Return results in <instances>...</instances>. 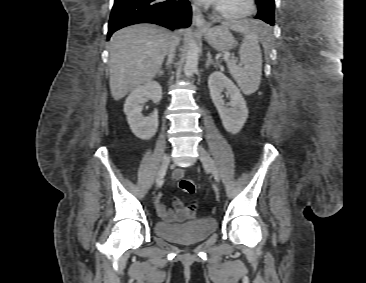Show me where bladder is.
<instances>
[{
	"instance_id": "1",
	"label": "bladder",
	"mask_w": 366,
	"mask_h": 283,
	"mask_svg": "<svg viewBox=\"0 0 366 283\" xmlns=\"http://www.w3.org/2000/svg\"><path fill=\"white\" fill-rule=\"evenodd\" d=\"M217 228L213 218L197 219L185 223H168L162 220L155 221L154 233L168 241L178 244H196L205 240Z\"/></svg>"
}]
</instances>
